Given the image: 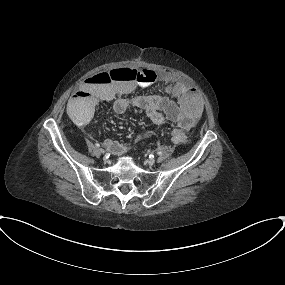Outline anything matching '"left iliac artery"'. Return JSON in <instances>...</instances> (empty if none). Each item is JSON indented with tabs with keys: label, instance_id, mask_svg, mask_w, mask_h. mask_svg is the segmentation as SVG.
<instances>
[{
	"label": "left iliac artery",
	"instance_id": "44dca946",
	"mask_svg": "<svg viewBox=\"0 0 285 285\" xmlns=\"http://www.w3.org/2000/svg\"><path fill=\"white\" fill-rule=\"evenodd\" d=\"M158 154H159V155H161V154H162V152H161V151H158Z\"/></svg>",
	"mask_w": 285,
	"mask_h": 285
}]
</instances>
